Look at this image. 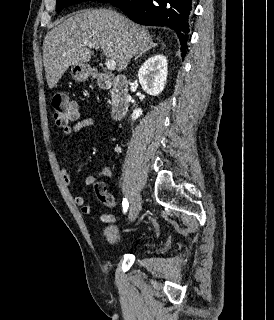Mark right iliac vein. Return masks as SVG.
<instances>
[{
  "label": "right iliac vein",
  "instance_id": "obj_1",
  "mask_svg": "<svg viewBox=\"0 0 274 320\" xmlns=\"http://www.w3.org/2000/svg\"><path fill=\"white\" fill-rule=\"evenodd\" d=\"M141 206H142V200L140 198V196H136L135 198H133L132 202H131V206H130V209H129V216H128V219L130 222L134 221L140 210H141Z\"/></svg>",
  "mask_w": 274,
  "mask_h": 320
}]
</instances>
